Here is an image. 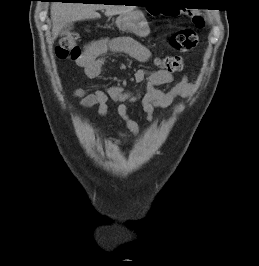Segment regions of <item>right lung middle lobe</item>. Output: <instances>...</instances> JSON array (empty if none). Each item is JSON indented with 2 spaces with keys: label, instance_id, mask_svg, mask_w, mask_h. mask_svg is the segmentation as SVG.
Returning <instances> with one entry per match:
<instances>
[{
  "label": "right lung middle lobe",
  "instance_id": "1",
  "mask_svg": "<svg viewBox=\"0 0 259 266\" xmlns=\"http://www.w3.org/2000/svg\"><path fill=\"white\" fill-rule=\"evenodd\" d=\"M64 1H69V0H64ZM87 2H91V1H94V0H85ZM63 2V1H62Z\"/></svg>",
  "mask_w": 259,
  "mask_h": 266
}]
</instances>
